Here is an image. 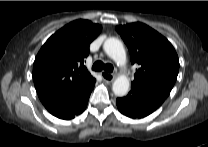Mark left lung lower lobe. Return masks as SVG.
<instances>
[{
	"label": "left lung lower lobe",
	"instance_id": "obj_1",
	"mask_svg": "<svg viewBox=\"0 0 208 147\" xmlns=\"http://www.w3.org/2000/svg\"><path fill=\"white\" fill-rule=\"evenodd\" d=\"M166 98L150 90L131 85L126 97L118 98V110L131 118H143L154 112Z\"/></svg>",
	"mask_w": 208,
	"mask_h": 147
}]
</instances>
